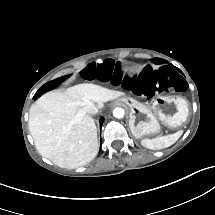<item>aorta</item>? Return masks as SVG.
I'll return each mask as SVG.
<instances>
[{
	"mask_svg": "<svg viewBox=\"0 0 215 215\" xmlns=\"http://www.w3.org/2000/svg\"><path fill=\"white\" fill-rule=\"evenodd\" d=\"M124 114H125V110L123 108H121V107H116L113 110V116L115 118H118V119L123 118Z\"/></svg>",
	"mask_w": 215,
	"mask_h": 215,
	"instance_id": "1",
	"label": "aorta"
}]
</instances>
